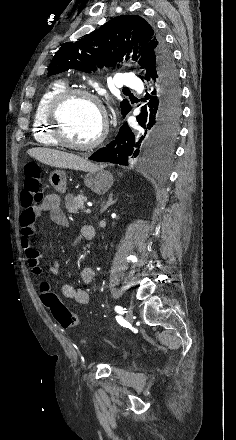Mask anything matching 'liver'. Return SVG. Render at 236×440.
Returning <instances> with one entry per match:
<instances>
[{
    "instance_id": "6515ba94",
    "label": "liver",
    "mask_w": 236,
    "mask_h": 440,
    "mask_svg": "<svg viewBox=\"0 0 236 440\" xmlns=\"http://www.w3.org/2000/svg\"><path fill=\"white\" fill-rule=\"evenodd\" d=\"M27 153L38 161L56 168H66L88 172L97 167L93 163L80 156L54 149L40 147L32 148L29 149Z\"/></svg>"
}]
</instances>
